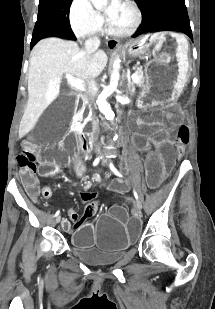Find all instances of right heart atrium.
Here are the masks:
<instances>
[{"label":"right heart atrium","mask_w":215,"mask_h":309,"mask_svg":"<svg viewBox=\"0 0 215 309\" xmlns=\"http://www.w3.org/2000/svg\"><path fill=\"white\" fill-rule=\"evenodd\" d=\"M69 27L79 36H87L92 30L100 29L101 15L97 14L89 0H72Z\"/></svg>","instance_id":"d8ad5b80"}]
</instances>
